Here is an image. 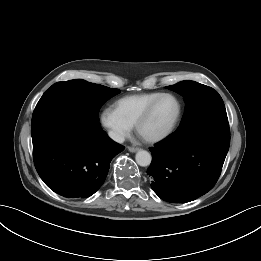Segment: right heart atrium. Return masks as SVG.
Here are the masks:
<instances>
[{"label": "right heart atrium", "mask_w": 261, "mask_h": 261, "mask_svg": "<svg viewBox=\"0 0 261 261\" xmlns=\"http://www.w3.org/2000/svg\"><path fill=\"white\" fill-rule=\"evenodd\" d=\"M100 121L116 142H123L131 134L133 128V125L110 107L102 110Z\"/></svg>", "instance_id": "right-heart-atrium-1"}]
</instances>
